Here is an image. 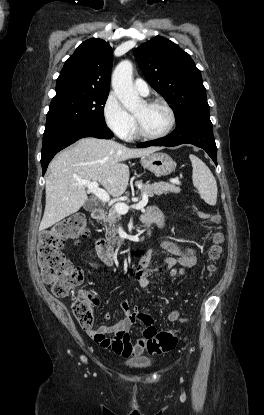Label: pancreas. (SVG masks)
I'll return each mask as SVG.
<instances>
[{
  "instance_id": "1",
  "label": "pancreas",
  "mask_w": 264,
  "mask_h": 415,
  "mask_svg": "<svg viewBox=\"0 0 264 415\" xmlns=\"http://www.w3.org/2000/svg\"><path fill=\"white\" fill-rule=\"evenodd\" d=\"M141 194L146 193L149 197L154 195H161L167 193H180V188L175 185L166 183V182H154L152 184L146 183L140 188ZM121 220V214L118 213L114 207H112L106 218L104 219L105 223H108L106 227V232L109 236V240L112 245H120L121 240L117 237V223Z\"/></svg>"
}]
</instances>
